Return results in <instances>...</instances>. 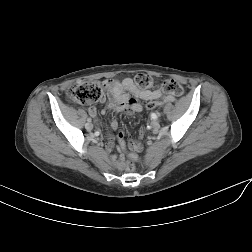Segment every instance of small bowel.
I'll use <instances>...</instances> for the list:
<instances>
[{"instance_id":"small-bowel-1","label":"small bowel","mask_w":252,"mask_h":252,"mask_svg":"<svg viewBox=\"0 0 252 252\" xmlns=\"http://www.w3.org/2000/svg\"><path fill=\"white\" fill-rule=\"evenodd\" d=\"M103 84L108 96V104L107 107L102 110L103 114L107 109L128 114L139 113L143 110V106L139 100L147 101L148 103L156 102V100H161L163 103H169L176 100L174 96L165 94L161 90L139 89L135 85L132 78H125L121 81L115 79H106L104 80ZM102 100H105V97H103ZM88 112L94 121L98 123L99 119L96 108L94 106H90ZM111 127L112 129H116L118 127V121L116 118L111 119ZM143 134L144 130L141 129L139 131V136L142 137ZM119 142V153L118 155L112 156L111 161L117 169H123L126 148L122 132L119 134ZM113 147V140H109L105 146V149L107 152H111ZM134 149L140 150L141 147Z\"/></svg>"}]
</instances>
